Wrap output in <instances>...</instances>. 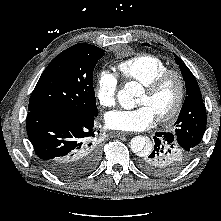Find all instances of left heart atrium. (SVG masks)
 Masks as SVG:
<instances>
[{"label":"left heart atrium","mask_w":221,"mask_h":221,"mask_svg":"<svg viewBox=\"0 0 221 221\" xmlns=\"http://www.w3.org/2000/svg\"><path fill=\"white\" fill-rule=\"evenodd\" d=\"M155 114L147 105L131 110H114L105 114L106 125L114 130L141 131L155 120Z\"/></svg>","instance_id":"obj_1"}]
</instances>
